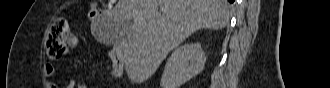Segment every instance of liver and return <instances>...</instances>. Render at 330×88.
Instances as JSON below:
<instances>
[{"label": "liver", "mask_w": 330, "mask_h": 88, "mask_svg": "<svg viewBox=\"0 0 330 88\" xmlns=\"http://www.w3.org/2000/svg\"><path fill=\"white\" fill-rule=\"evenodd\" d=\"M126 20H133L132 25L120 34L118 43L129 79L142 83L192 33L223 29L229 21V6L226 0H119L107 23L120 25Z\"/></svg>", "instance_id": "obj_1"}]
</instances>
